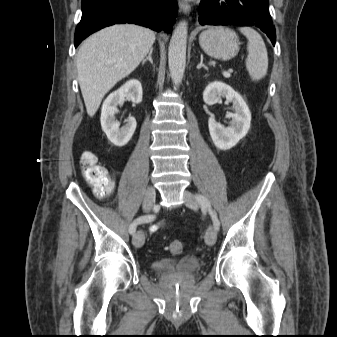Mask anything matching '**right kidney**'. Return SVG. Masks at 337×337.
Listing matches in <instances>:
<instances>
[{"instance_id":"right-kidney-1","label":"right kidney","mask_w":337,"mask_h":337,"mask_svg":"<svg viewBox=\"0 0 337 337\" xmlns=\"http://www.w3.org/2000/svg\"><path fill=\"white\" fill-rule=\"evenodd\" d=\"M125 98H129L133 103L142 101V86L138 80H130L118 90L111 93L103 102L101 110V126L110 142L118 147L126 145L132 138L137 122L134 117L126 120L125 126L119 128V123L115 120L118 112L117 106L123 105Z\"/></svg>"}]
</instances>
